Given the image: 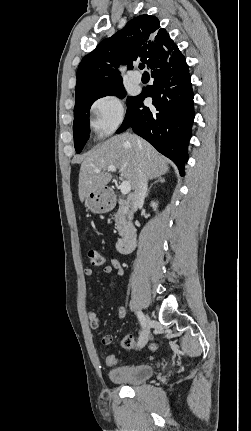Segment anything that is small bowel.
Returning a JSON list of instances; mask_svg holds the SVG:
<instances>
[{
	"instance_id": "c3829d8e",
	"label": "small bowel",
	"mask_w": 251,
	"mask_h": 431,
	"mask_svg": "<svg viewBox=\"0 0 251 431\" xmlns=\"http://www.w3.org/2000/svg\"><path fill=\"white\" fill-rule=\"evenodd\" d=\"M102 271L104 273H107V274L115 272L118 277H122L124 275V272H125L122 264L116 258H111L110 263L108 265H104L102 267ZM84 274L87 277L92 276L93 275L92 268H89V267L85 268ZM125 316H126L125 308L123 306H119L117 308L118 319H123ZM87 317H88L91 328L95 329V330L98 329L100 326V319H99L97 313L94 310H88ZM100 341L103 345H110L113 342V336L110 334L104 335L101 337Z\"/></svg>"
}]
</instances>
